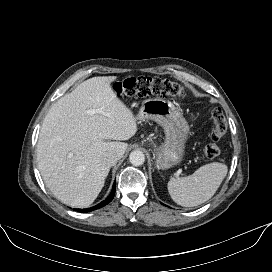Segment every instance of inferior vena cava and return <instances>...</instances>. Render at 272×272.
Returning a JSON list of instances; mask_svg holds the SVG:
<instances>
[{"mask_svg":"<svg viewBox=\"0 0 272 272\" xmlns=\"http://www.w3.org/2000/svg\"><path fill=\"white\" fill-rule=\"evenodd\" d=\"M120 158L117 152H106L102 157V161L111 167L114 166Z\"/></svg>","mask_w":272,"mask_h":272,"instance_id":"602c4592","label":"inferior vena cava"}]
</instances>
